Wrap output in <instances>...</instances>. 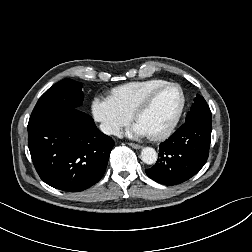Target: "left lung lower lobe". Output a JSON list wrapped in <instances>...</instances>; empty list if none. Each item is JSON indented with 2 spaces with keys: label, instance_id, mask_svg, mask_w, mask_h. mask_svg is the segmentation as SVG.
<instances>
[{
  "label": "left lung lower lobe",
  "instance_id": "1",
  "mask_svg": "<svg viewBox=\"0 0 252 252\" xmlns=\"http://www.w3.org/2000/svg\"><path fill=\"white\" fill-rule=\"evenodd\" d=\"M212 120L185 122L170 138L159 145L157 163L146 169L158 183L175 185L187 181L204 166L210 147Z\"/></svg>",
  "mask_w": 252,
  "mask_h": 252
}]
</instances>
